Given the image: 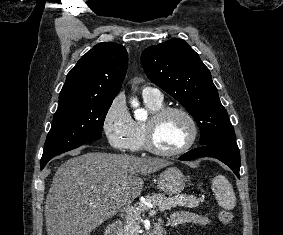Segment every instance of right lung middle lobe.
<instances>
[{
	"instance_id": "dd1d6c3e",
	"label": "right lung middle lobe",
	"mask_w": 283,
	"mask_h": 235,
	"mask_svg": "<svg viewBox=\"0 0 283 235\" xmlns=\"http://www.w3.org/2000/svg\"><path fill=\"white\" fill-rule=\"evenodd\" d=\"M113 100L71 99L59 102L41 162L79 145L98 140Z\"/></svg>"
}]
</instances>
